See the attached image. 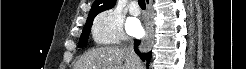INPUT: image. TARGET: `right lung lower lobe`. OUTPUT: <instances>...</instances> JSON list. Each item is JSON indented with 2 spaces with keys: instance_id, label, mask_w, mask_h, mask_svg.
Returning a JSON list of instances; mask_svg holds the SVG:
<instances>
[{
  "instance_id": "98d812e1",
  "label": "right lung lower lobe",
  "mask_w": 246,
  "mask_h": 69,
  "mask_svg": "<svg viewBox=\"0 0 246 69\" xmlns=\"http://www.w3.org/2000/svg\"><path fill=\"white\" fill-rule=\"evenodd\" d=\"M140 45V41L139 40H134V49H135V52L139 55V57L142 59V60H147V62L149 63L150 61V58H151V52L149 53H140L139 50L137 49V47Z\"/></svg>"
}]
</instances>
